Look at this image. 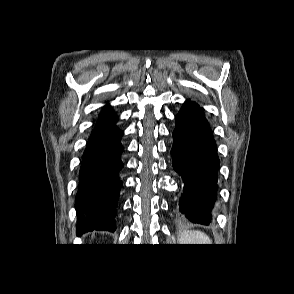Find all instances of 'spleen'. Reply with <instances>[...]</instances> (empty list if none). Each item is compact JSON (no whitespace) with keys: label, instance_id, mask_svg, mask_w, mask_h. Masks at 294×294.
I'll use <instances>...</instances> for the list:
<instances>
[{"label":"spleen","instance_id":"1","mask_svg":"<svg viewBox=\"0 0 294 294\" xmlns=\"http://www.w3.org/2000/svg\"><path fill=\"white\" fill-rule=\"evenodd\" d=\"M179 241L181 244H212L208 235L201 231H185L181 233Z\"/></svg>","mask_w":294,"mask_h":294}]
</instances>
